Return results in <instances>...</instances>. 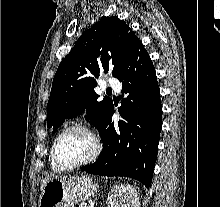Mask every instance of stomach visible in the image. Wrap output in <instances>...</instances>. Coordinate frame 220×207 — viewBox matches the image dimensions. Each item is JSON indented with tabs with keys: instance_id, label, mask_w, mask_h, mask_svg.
Listing matches in <instances>:
<instances>
[{
	"instance_id": "stomach-1",
	"label": "stomach",
	"mask_w": 220,
	"mask_h": 207,
	"mask_svg": "<svg viewBox=\"0 0 220 207\" xmlns=\"http://www.w3.org/2000/svg\"><path fill=\"white\" fill-rule=\"evenodd\" d=\"M97 189L98 183L92 176L53 177L43 187L38 207H73L93 196Z\"/></svg>"
}]
</instances>
